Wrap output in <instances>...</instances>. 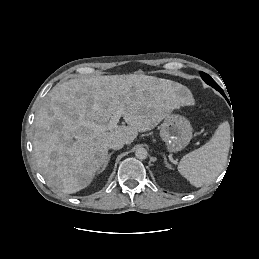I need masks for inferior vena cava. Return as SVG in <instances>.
<instances>
[{"label":"inferior vena cava","mask_w":259,"mask_h":259,"mask_svg":"<svg viewBox=\"0 0 259 259\" xmlns=\"http://www.w3.org/2000/svg\"><path fill=\"white\" fill-rule=\"evenodd\" d=\"M125 142L122 139L114 138L109 143V148L118 150L124 146Z\"/></svg>","instance_id":"602c4592"}]
</instances>
